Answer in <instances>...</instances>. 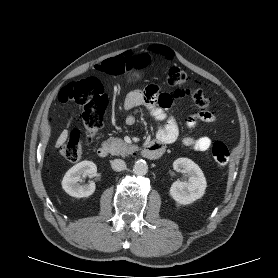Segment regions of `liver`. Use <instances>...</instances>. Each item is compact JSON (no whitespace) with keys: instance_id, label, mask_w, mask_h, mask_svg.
I'll return each instance as SVG.
<instances>
[{"instance_id":"obj_1","label":"liver","mask_w":278,"mask_h":278,"mask_svg":"<svg viewBox=\"0 0 278 278\" xmlns=\"http://www.w3.org/2000/svg\"><path fill=\"white\" fill-rule=\"evenodd\" d=\"M67 137H68V131L65 129L60 134V136H59V138H58V140L56 142L55 147L58 148V147L62 146L66 142Z\"/></svg>"}]
</instances>
